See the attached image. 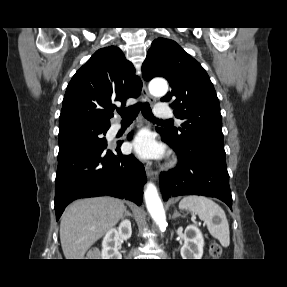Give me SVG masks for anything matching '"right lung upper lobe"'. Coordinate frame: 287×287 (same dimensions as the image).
I'll return each mask as SVG.
<instances>
[{"instance_id":"cb5924a9","label":"right lung upper lobe","mask_w":287,"mask_h":287,"mask_svg":"<svg viewBox=\"0 0 287 287\" xmlns=\"http://www.w3.org/2000/svg\"><path fill=\"white\" fill-rule=\"evenodd\" d=\"M142 81L131 62L116 46L96 51L72 77L67 86L59 127L76 122L110 126L115 105L138 97Z\"/></svg>"}]
</instances>
